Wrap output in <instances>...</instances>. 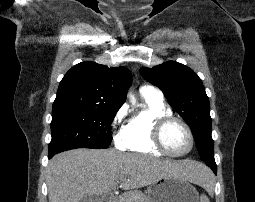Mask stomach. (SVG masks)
I'll use <instances>...</instances> for the list:
<instances>
[{
	"mask_svg": "<svg viewBox=\"0 0 255 202\" xmlns=\"http://www.w3.org/2000/svg\"><path fill=\"white\" fill-rule=\"evenodd\" d=\"M150 202H198L196 189L185 179L163 177L147 188Z\"/></svg>",
	"mask_w": 255,
	"mask_h": 202,
	"instance_id": "0dacf381",
	"label": "stomach"
}]
</instances>
